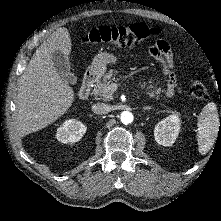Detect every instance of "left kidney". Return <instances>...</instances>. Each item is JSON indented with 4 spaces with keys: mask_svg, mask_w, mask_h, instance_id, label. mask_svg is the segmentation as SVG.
Returning <instances> with one entry per match:
<instances>
[{
    "mask_svg": "<svg viewBox=\"0 0 221 221\" xmlns=\"http://www.w3.org/2000/svg\"><path fill=\"white\" fill-rule=\"evenodd\" d=\"M180 131V117L174 113L161 120L154 129V137L158 144L171 146Z\"/></svg>",
    "mask_w": 221,
    "mask_h": 221,
    "instance_id": "5707ae66",
    "label": "left kidney"
}]
</instances>
